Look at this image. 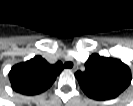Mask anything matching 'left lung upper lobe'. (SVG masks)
<instances>
[{
    "label": "left lung upper lobe",
    "instance_id": "left-lung-upper-lobe-1",
    "mask_svg": "<svg viewBox=\"0 0 133 106\" xmlns=\"http://www.w3.org/2000/svg\"><path fill=\"white\" fill-rule=\"evenodd\" d=\"M84 72L77 71L83 92L95 100H108L121 94L131 82V71L122 61L92 54L85 63Z\"/></svg>",
    "mask_w": 133,
    "mask_h": 106
}]
</instances>
